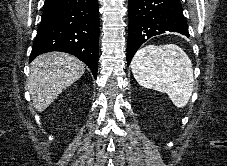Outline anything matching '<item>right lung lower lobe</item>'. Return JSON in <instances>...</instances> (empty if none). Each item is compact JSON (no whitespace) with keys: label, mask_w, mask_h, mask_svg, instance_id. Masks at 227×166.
<instances>
[{"label":"right lung lower lobe","mask_w":227,"mask_h":166,"mask_svg":"<svg viewBox=\"0 0 227 166\" xmlns=\"http://www.w3.org/2000/svg\"><path fill=\"white\" fill-rule=\"evenodd\" d=\"M98 49L97 0H45L29 62L42 53L66 52L83 61L97 78Z\"/></svg>","instance_id":"98d812e1"}]
</instances>
